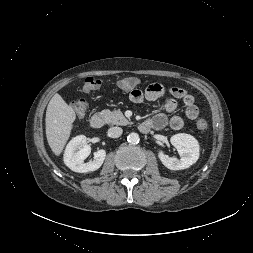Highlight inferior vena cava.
<instances>
[{
  "label": "inferior vena cava",
  "instance_id": "1",
  "mask_svg": "<svg viewBox=\"0 0 253 253\" xmlns=\"http://www.w3.org/2000/svg\"><path fill=\"white\" fill-rule=\"evenodd\" d=\"M122 132H123V130L121 127H111L108 130V135H109V137L117 138V137L121 136Z\"/></svg>",
  "mask_w": 253,
  "mask_h": 253
}]
</instances>
